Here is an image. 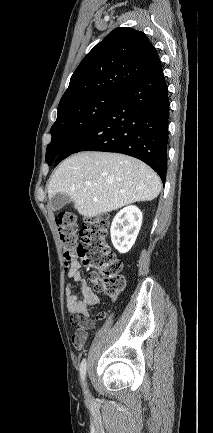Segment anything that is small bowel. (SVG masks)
I'll list each match as a JSON object with an SVG mask.
<instances>
[{
  "label": "small bowel",
  "instance_id": "c3829d8e",
  "mask_svg": "<svg viewBox=\"0 0 213 433\" xmlns=\"http://www.w3.org/2000/svg\"><path fill=\"white\" fill-rule=\"evenodd\" d=\"M68 277L78 285V292L74 290V284L68 283L66 286V304L71 315L88 317V309L99 303L98 295L82 279V273L77 263H73L68 269ZM94 327L91 320L83 321V326L73 335V344L77 349H82L88 336V331ZM80 337V341L77 338Z\"/></svg>",
  "mask_w": 213,
  "mask_h": 433
}]
</instances>
